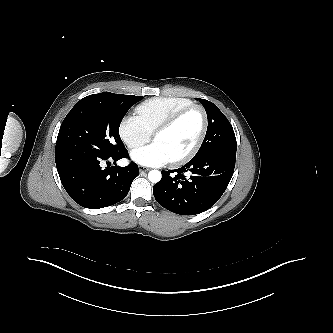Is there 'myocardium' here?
<instances>
[{"label":"myocardium","mask_w":333,"mask_h":333,"mask_svg":"<svg viewBox=\"0 0 333 333\" xmlns=\"http://www.w3.org/2000/svg\"><path fill=\"white\" fill-rule=\"evenodd\" d=\"M197 110L200 112L202 117V127L200 134L194 143V145L184 154L178 156L177 158L172 159L170 162L173 165H179L182 163L187 162L191 158H193L196 153L199 151L200 147L202 146L204 139L206 137L207 131H208V115L205 110V108L198 104H192L190 106H187L173 115H171L168 119H166L162 124H160L155 131L153 132V138H155L157 135L171 129L175 124H177L184 116H186L188 113Z\"/></svg>","instance_id":"myocardium-1"}]
</instances>
